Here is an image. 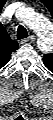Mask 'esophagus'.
<instances>
[{"label":"esophagus","instance_id":"1","mask_svg":"<svg viewBox=\"0 0 53 120\" xmlns=\"http://www.w3.org/2000/svg\"><path fill=\"white\" fill-rule=\"evenodd\" d=\"M35 41V36L34 35H31L30 37L24 39L21 41L22 44H26V43H32Z\"/></svg>","mask_w":53,"mask_h":120}]
</instances>
